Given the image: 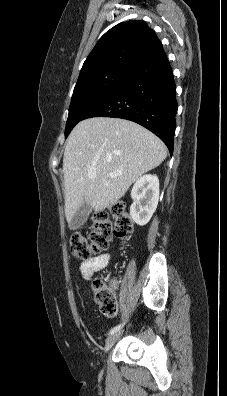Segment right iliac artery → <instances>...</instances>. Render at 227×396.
Returning a JSON list of instances; mask_svg holds the SVG:
<instances>
[{
    "label": "right iliac artery",
    "instance_id": "1",
    "mask_svg": "<svg viewBox=\"0 0 227 396\" xmlns=\"http://www.w3.org/2000/svg\"><path fill=\"white\" fill-rule=\"evenodd\" d=\"M125 322L122 324H119L117 326H115L114 328H112L109 332V334H113L116 333L117 331H119L123 326H124Z\"/></svg>",
    "mask_w": 227,
    "mask_h": 396
}]
</instances>
